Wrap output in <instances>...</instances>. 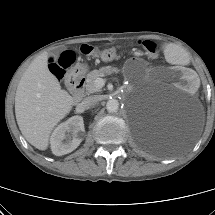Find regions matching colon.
I'll return each mask as SVG.
<instances>
[{"label": "colon", "instance_id": "1", "mask_svg": "<svg viewBox=\"0 0 215 215\" xmlns=\"http://www.w3.org/2000/svg\"><path fill=\"white\" fill-rule=\"evenodd\" d=\"M143 48L146 54L154 58L157 55V47L153 42H143ZM80 52L84 55H92L99 57L105 61H112L117 57V50L114 47L97 48L89 44H83L80 47ZM75 56L72 52H64L58 58H52L50 61V71L57 78H62L65 70L73 64Z\"/></svg>", "mask_w": 215, "mask_h": 215}]
</instances>
